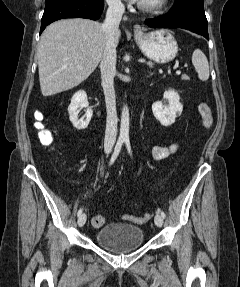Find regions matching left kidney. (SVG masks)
<instances>
[{
    "label": "left kidney",
    "mask_w": 240,
    "mask_h": 287,
    "mask_svg": "<svg viewBox=\"0 0 240 287\" xmlns=\"http://www.w3.org/2000/svg\"><path fill=\"white\" fill-rule=\"evenodd\" d=\"M182 110L183 105L180 103V96L178 92L173 90L165 91L163 100L152 105L153 115L165 127L172 125Z\"/></svg>",
    "instance_id": "left-kidney-1"
}]
</instances>
